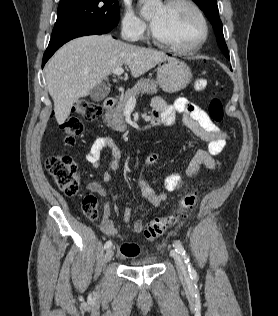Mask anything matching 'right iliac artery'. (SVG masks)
<instances>
[{
    "instance_id": "obj_1",
    "label": "right iliac artery",
    "mask_w": 278,
    "mask_h": 316,
    "mask_svg": "<svg viewBox=\"0 0 278 316\" xmlns=\"http://www.w3.org/2000/svg\"><path fill=\"white\" fill-rule=\"evenodd\" d=\"M112 246V242L111 241H107L105 244H104V249H108Z\"/></svg>"
}]
</instances>
